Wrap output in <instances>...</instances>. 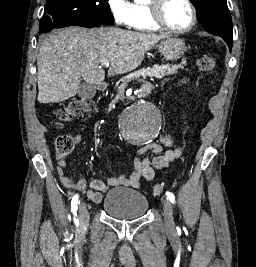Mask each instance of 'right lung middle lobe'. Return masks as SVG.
<instances>
[{
	"label": "right lung middle lobe",
	"mask_w": 256,
	"mask_h": 267,
	"mask_svg": "<svg viewBox=\"0 0 256 267\" xmlns=\"http://www.w3.org/2000/svg\"><path fill=\"white\" fill-rule=\"evenodd\" d=\"M108 0H47V12L40 22L43 33L71 25H112Z\"/></svg>",
	"instance_id": "1"
}]
</instances>
